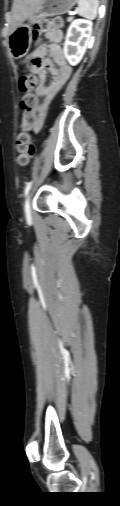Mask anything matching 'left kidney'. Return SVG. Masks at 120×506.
Returning <instances> with one entry per match:
<instances>
[{
	"label": "left kidney",
	"mask_w": 120,
	"mask_h": 506,
	"mask_svg": "<svg viewBox=\"0 0 120 506\" xmlns=\"http://www.w3.org/2000/svg\"><path fill=\"white\" fill-rule=\"evenodd\" d=\"M92 34V23L83 19L74 20L68 28L65 43L64 55L70 65L78 64L90 41Z\"/></svg>",
	"instance_id": "obj_1"
}]
</instances>
